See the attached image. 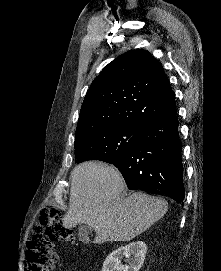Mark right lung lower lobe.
<instances>
[{
	"mask_svg": "<svg viewBox=\"0 0 221 271\" xmlns=\"http://www.w3.org/2000/svg\"><path fill=\"white\" fill-rule=\"evenodd\" d=\"M181 150L176 111L149 123L136 145L112 164L129 189L165 194L184 205Z\"/></svg>",
	"mask_w": 221,
	"mask_h": 271,
	"instance_id": "1",
	"label": "right lung lower lobe"
}]
</instances>
